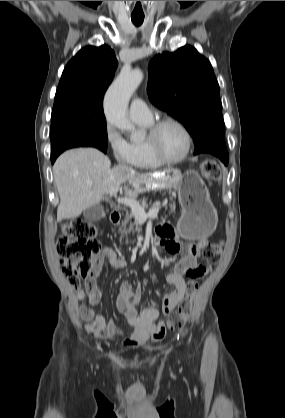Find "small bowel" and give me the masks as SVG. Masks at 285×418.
<instances>
[{
	"mask_svg": "<svg viewBox=\"0 0 285 418\" xmlns=\"http://www.w3.org/2000/svg\"><path fill=\"white\" fill-rule=\"evenodd\" d=\"M156 236L163 250L172 255L180 252L181 246L174 239L170 229L159 227L156 229ZM202 245L203 241L189 244L186 253L175 263L173 271L166 276V281L173 286V290L165 296L160 308L146 307L138 313L137 305L141 299V287L133 289L130 282H122L116 298V307L131 329L126 333L125 346L144 344L148 340L160 342L164 339L165 333L157 330L156 321L161 315L173 312L186 297L187 284L184 277L199 278L208 271V267L197 265V257L201 253ZM106 262L114 269H122L127 265L124 257L118 256L111 247H105L93 257V272L85 287H74V290L77 300L87 301L86 305L79 308L80 317L86 322L87 333L101 339H113L116 335L124 334V329L117 320H106L105 317L95 312V307L102 300V293L96 286L95 278Z\"/></svg>",
	"mask_w": 285,
	"mask_h": 418,
	"instance_id": "obj_1",
	"label": "small bowel"
}]
</instances>
